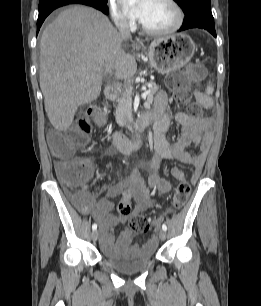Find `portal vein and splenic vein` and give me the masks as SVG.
<instances>
[{
	"instance_id": "18ae733b",
	"label": "portal vein and splenic vein",
	"mask_w": 261,
	"mask_h": 306,
	"mask_svg": "<svg viewBox=\"0 0 261 306\" xmlns=\"http://www.w3.org/2000/svg\"><path fill=\"white\" fill-rule=\"evenodd\" d=\"M125 90H126L128 93H132V89H131V88H126ZM148 94H149L148 91H144V93L142 94V98H143V99H146V98H147V101H146L145 105L149 107L150 104H151L152 101H153V97H152V96H151V97H148Z\"/></svg>"
}]
</instances>
